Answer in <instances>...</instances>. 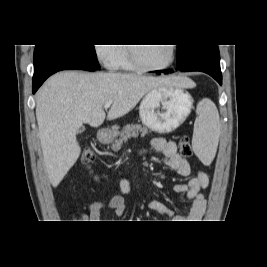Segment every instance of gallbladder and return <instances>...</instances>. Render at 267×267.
I'll return each mask as SVG.
<instances>
[{"label":"gallbladder","mask_w":267,"mask_h":267,"mask_svg":"<svg viewBox=\"0 0 267 267\" xmlns=\"http://www.w3.org/2000/svg\"><path fill=\"white\" fill-rule=\"evenodd\" d=\"M85 130V127L84 126H81L79 129H78V133H82L83 131Z\"/></svg>","instance_id":"bac80fb5"}]
</instances>
